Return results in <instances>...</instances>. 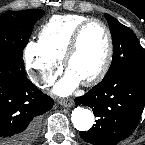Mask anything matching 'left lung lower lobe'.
<instances>
[{"instance_id":"left-lung-lower-lobe-1","label":"left lung lower lobe","mask_w":145,"mask_h":145,"mask_svg":"<svg viewBox=\"0 0 145 145\" xmlns=\"http://www.w3.org/2000/svg\"><path fill=\"white\" fill-rule=\"evenodd\" d=\"M76 104L92 108L96 124L80 136L93 145H114L137 127L145 105V73L124 70L104 78Z\"/></svg>"}]
</instances>
